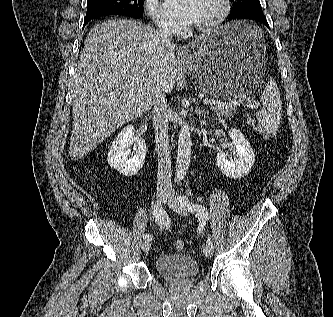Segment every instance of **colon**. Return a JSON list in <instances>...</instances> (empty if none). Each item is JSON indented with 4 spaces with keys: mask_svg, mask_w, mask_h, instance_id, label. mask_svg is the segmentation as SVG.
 Segmentation results:
<instances>
[{
    "mask_svg": "<svg viewBox=\"0 0 333 317\" xmlns=\"http://www.w3.org/2000/svg\"><path fill=\"white\" fill-rule=\"evenodd\" d=\"M249 124L259 131L261 134H263L265 137H272L274 136L273 132L268 131L267 129L263 128L261 125H259L253 118L248 117L247 118ZM174 247L177 251H182L185 248V243L182 240H177L174 244Z\"/></svg>",
    "mask_w": 333,
    "mask_h": 317,
    "instance_id": "obj_1",
    "label": "colon"
}]
</instances>
